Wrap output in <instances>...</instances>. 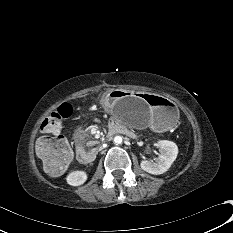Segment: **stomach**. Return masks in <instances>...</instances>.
<instances>
[{
    "label": "stomach",
    "instance_id": "0dacf381",
    "mask_svg": "<svg viewBox=\"0 0 233 233\" xmlns=\"http://www.w3.org/2000/svg\"><path fill=\"white\" fill-rule=\"evenodd\" d=\"M102 104L118 121L134 128L152 127L164 131L179 118L176 104L161 95L111 90Z\"/></svg>",
    "mask_w": 233,
    "mask_h": 233
}]
</instances>
